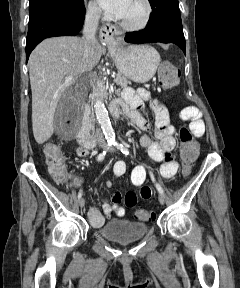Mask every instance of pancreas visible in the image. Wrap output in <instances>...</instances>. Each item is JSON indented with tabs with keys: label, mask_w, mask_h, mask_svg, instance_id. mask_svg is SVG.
<instances>
[{
	"label": "pancreas",
	"mask_w": 240,
	"mask_h": 288,
	"mask_svg": "<svg viewBox=\"0 0 240 288\" xmlns=\"http://www.w3.org/2000/svg\"><path fill=\"white\" fill-rule=\"evenodd\" d=\"M115 82L118 86L124 88L130 83L126 77H124L121 73L116 74ZM95 93H97L101 98L107 99L108 93L104 87L98 86L95 88Z\"/></svg>",
	"instance_id": "1"
}]
</instances>
